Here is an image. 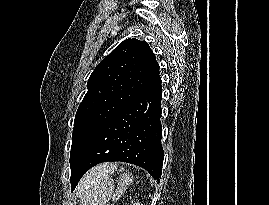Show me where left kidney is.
Returning <instances> with one entry per match:
<instances>
[{
	"label": "left kidney",
	"instance_id": "left-kidney-1",
	"mask_svg": "<svg viewBox=\"0 0 269 205\" xmlns=\"http://www.w3.org/2000/svg\"><path fill=\"white\" fill-rule=\"evenodd\" d=\"M133 205H142V204H140V203L137 202V203H134Z\"/></svg>",
	"mask_w": 269,
	"mask_h": 205
}]
</instances>
